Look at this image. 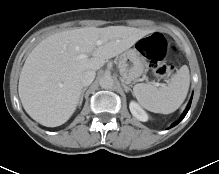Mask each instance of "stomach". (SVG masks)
Instances as JSON below:
<instances>
[{"mask_svg": "<svg viewBox=\"0 0 219 174\" xmlns=\"http://www.w3.org/2000/svg\"><path fill=\"white\" fill-rule=\"evenodd\" d=\"M145 67L146 61L136 47L127 50L119 57V72L126 82H130L140 77L143 74Z\"/></svg>", "mask_w": 219, "mask_h": 174, "instance_id": "stomach-1", "label": "stomach"}]
</instances>
